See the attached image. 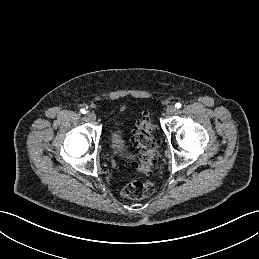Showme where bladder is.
Here are the masks:
<instances>
[{
    "instance_id": "bladder-1",
    "label": "bladder",
    "mask_w": 259,
    "mask_h": 259,
    "mask_svg": "<svg viewBox=\"0 0 259 259\" xmlns=\"http://www.w3.org/2000/svg\"><path fill=\"white\" fill-rule=\"evenodd\" d=\"M108 145L111 152L121 158H129L131 155L127 150L124 138V130L120 124H116L108 137Z\"/></svg>"
}]
</instances>
